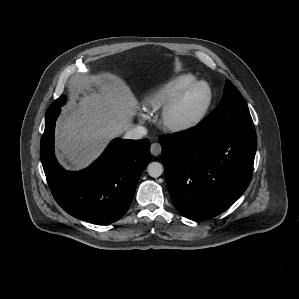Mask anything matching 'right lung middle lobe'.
I'll list each match as a JSON object with an SVG mask.
<instances>
[{
    "instance_id": "dd1d6c3e",
    "label": "right lung middle lobe",
    "mask_w": 299,
    "mask_h": 299,
    "mask_svg": "<svg viewBox=\"0 0 299 299\" xmlns=\"http://www.w3.org/2000/svg\"><path fill=\"white\" fill-rule=\"evenodd\" d=\"M66 102V96L65 95H61L57 100H55L50 107H54V106H62L64 105Z\"/></svg>"
}]
</instances>
